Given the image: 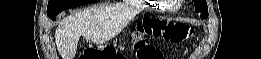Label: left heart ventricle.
<instances>
[{
    "label": "left heart ventricle",
    "mask_w": 261,
    "mask_h": 59,
    "mask_svg": "<svg viewBox=\"0 0 261 59\" xmlns=\"http://www.w3.org/2000/svg\"><path fill=\"white\" fill-rule=\"evenodd\" d=\"M170 3H175L174 1H170Z\"/></svg>",
    "instance_id": "1"
}]
</instances>
